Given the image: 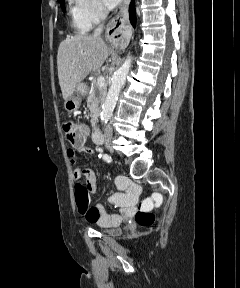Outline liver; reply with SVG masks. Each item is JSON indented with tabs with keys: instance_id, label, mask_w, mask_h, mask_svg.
<instances>
[{
	"instance_id": "1",
	"label": "liver",
	"mask_w": 240,
	"mask_h": 288,
	"mask_svg": "<svg viewBox=\"0 0 240 288\" xmlns=\"http://www.w3.org/2000/svg\"><path fill=\"white\" fill-rule=\"evenodd\" d=\"M111 53L105 42L93 35L67 36L58 48L57 68L63 99L66 101L80 82L98 71Z\"/></svg>"
}]
</instances>
